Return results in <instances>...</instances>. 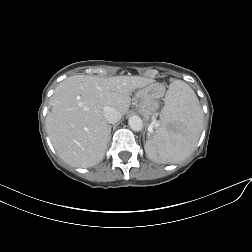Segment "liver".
Wrapping results in <instances>:
<instances>
[{
	"label": "liver",
	"instance_id": "1",
	"mask_svg": "<svg viewBox=\"0 0 252 252\" xmlns=\"http://www.w3.org/2000/svg\"><path fill=\"white\" fill-rule=\"evenodd\" d=\"M154 80L140 76L100 78L75 75L66 78L50 98L46 117L48 136L60 156L73 167L88 168L104 157L110 138L105 106L125 115L131 94Z\"/></svg>",
	"mask_w": 252,
	"mask_h": 252
}]
</instances>
